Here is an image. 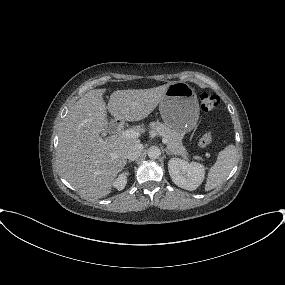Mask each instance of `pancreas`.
Returning <instances> with one entry per match:
<instances>
[{
  "label": "pancreas",
  "instance_id": "cf45deb5",
  "mask_svg": "<svg viewBox=\"0 0 285 285\" xmlns=\"http://www.w3.org/2000/svg\"><path fill=\"white\" fill-rule=\"evenodd\" d=\"M150 128L158 132L167 140V149L175 155L187 157L188 153L183 145V135L176 130L168 128L165 124L156 121L150 123ZM194 159L203 160L200 156H194Z\"/></svg>",
  "mask_w": 285,
  "mask_h": 285
}]
</instances>
